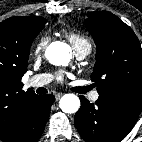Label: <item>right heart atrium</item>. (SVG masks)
Instances as JSON below:
<instances>
[{
  "label": "right heart atrium",
  "instance_id": "1",
  "mask_svg": "<svg viewBox=\"0 0 142 142\" xmlns=\"http://www.w3.org/2000/svg\"><path fill=\"white\" fill-rule=\"evenodd\" d=\"M47 44H48V38L46 36L41 37L33 48L34 55L36 56L41 55L45 50Z\"/></svg>",
  "mask_w": 142,
  "mask_h": 142
}]
</instances>
